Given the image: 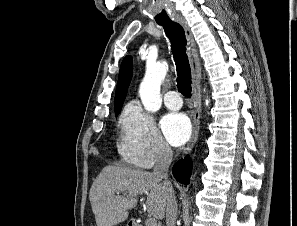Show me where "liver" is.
<instances>
[{"instance_id":"6515ba94","label":"liver","mask_w":297,"mask_h":226,"mask_svg":"<svg viewBox=\"0 0 297 226\" xmlns=\"http://www.w3.org/2000/svg\"><path fill=\"white\" fill-rule=\"evenodd\" d=\"M143 194H147V212L156 219H163L168 194L161 179L143 170L104 167L89 193L97 226H115L125 221L129 210L136 207L138 196Z\"/></svg>"}]
</instances>
